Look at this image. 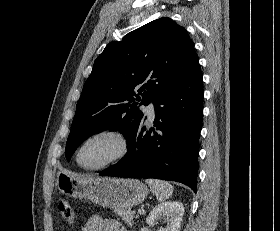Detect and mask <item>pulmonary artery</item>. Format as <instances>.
Masks as SVG:
<instances>
[{
	"mask_svg": "<svg viewBox=\"0 0 280 231\" xmlns=\"http://www.w3.org/2000/svg\"><path fill=\"white\" fill-rule=\"evenodd\" d=\"M147 105H154L153 102H149ZM144 113H155V110H143ZM155 118H148L150 122H152Z\"/></svg>",
	"mask_w": 280,
	"mask_h": 231,
	"instance_id": "e3ab8cb5",
	"label": "pulmonary artery"
}]
</instances>
